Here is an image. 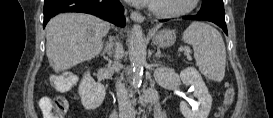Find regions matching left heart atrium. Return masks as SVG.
Wrapping results in <instances>:
<instances>
[{
    "label": "left heart atrium",
    "instance_id": "left-heart-atrium-1",
    "mask_svg": "<svg viewBox=\"0 0 273 118\" xmlns=\"http://www.w3.org/2000/svg\"><path fill=\"white\" fill-rule=\"evenodd\" d=\"M142 5H152L155 1L154 0H132Z\"/></svg>",
    "mask_w": 273,
    "mask_h": 118
}]
</instances>
